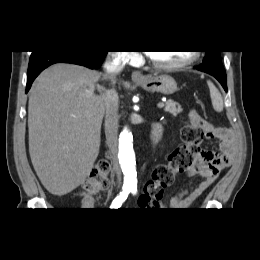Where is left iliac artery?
<instances>
[{
  "mask_svg": "<svg viewBox=\"0 0 260 260\" xmlns=\"http://www.w3.org/2000/svg\"><path fill=\"white\" fill-rule=\"evenodd\" d=\"M131 192H132V194H136V192H137L136 186L131 187Z\"/></svg>",
  "mask_w": 260,
  "mask_h": 260,
  "instance_id": "44dca946",
  "label": "left iliac artery"
}]
</instances>
